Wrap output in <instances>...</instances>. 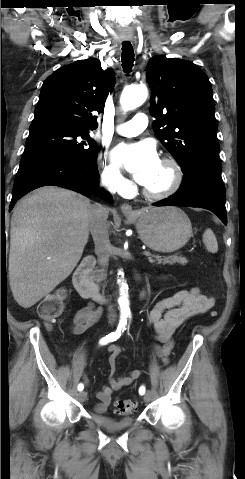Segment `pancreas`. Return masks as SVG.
<instances>
[{
	"mask_svg": "<svg viewBox=\"0 0 245 479\" xmlns=\"http://www.w3.org/2000/svg\"><path fill=\"white\" fill-rule=\"evenodd\" d=\"M150 263H156V264H174V263H179L181 265H185L188 263V260L185 257L181 256H166L162 257L159 255L149 257L148 258Z\"/></svg>",
	"mask_w": 245,
	"mask_h": 479,
	"instance_id": "1",
	"label": "pancreas"
}]
</instances>
